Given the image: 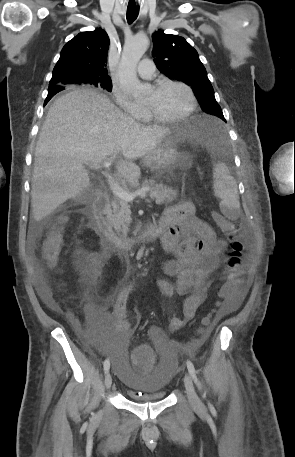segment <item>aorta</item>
<instances>
[{
    "instance_id": "762f6f07",
    "label": "aorta",
    "mask_w": 295,
    "mask_h": 457,
    "mask_svg": "<svg viewBox=\"0 0 295 457\" xmlns=\"http://www.w3.org/2000/svg\"><path fill=\"white\" fill-rule=\"evenodd\" d=\"M149 46V40L144 35H137L127 40L123 47L119 63V82L122 89L135 98L145 94V86L136 74L137 65Z\"/></svg>"
}]
</instances>
